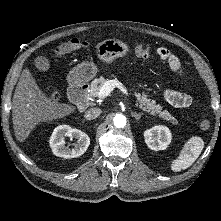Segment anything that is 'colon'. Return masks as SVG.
<instances>
[{"label":"colon","mask_w":221,"mask_h":221,"mask_svg":"<svg viewBox=\"0 0 221 221\" xmlns=\"http://www.w3.org/2000/svg\"><path fill=\"white\" fill-rule=\"evenodd\" d=\"M89 47H91V43L77 39V38H73V39L69 40L68 42L59 45L55 49L54 56H55V58L58 59V58L65 56L66 54H68L70 52L81 50V49H87ZM134 53L140 58H147L153 53V48L149 45H136L134 47ZM157 53L162 60H164L168 63L171 62V57L166 52L160 53L157 51ZM50 97L52 99H56L57 94L51 93ZM210 127H211L210 119L207 117L202 118L200 121V128L202 130H208V129H210Z\"/></svg>","instance_id":"colon-1"}]
</instances>
